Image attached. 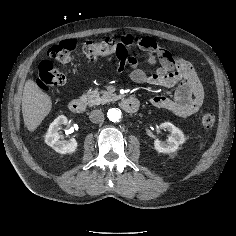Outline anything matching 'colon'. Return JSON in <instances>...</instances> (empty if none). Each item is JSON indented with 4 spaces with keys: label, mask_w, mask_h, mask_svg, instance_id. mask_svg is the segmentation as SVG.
<instances>
[{
    "label": "colon",
    "mask_w": 236,
    "mask_h": 236,
    "mask_svg": "<svg viewBox=\"0 0 236 236\" xmlns=\"http://www.w3.org/2000/svg\"><path fill=\"white\" fill-rule=\"evenodd\" d=\"M75 40L69 39L53 45L48 50V57L60 63L69 61L71 54L76 49ZM82 54L88 60H95L101 57L116 55L117 57H126L129 49L123 46L119 41L107 38L103 41H87L82 46ZM65 75L58 70L50 60H43L38 69L37 83L44 91H49L65 83ZM199 121L205 128H211L215 123V115L209 111H203L199 115Z\"/></svg>",
    "instance_id": "5ec220e1"
}]
</instances>
